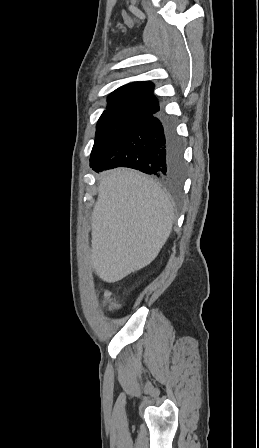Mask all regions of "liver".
Returning <instances> with one entry per match:
<instances>
[{
	"label": "liver",
	"mask_w": 259,
	"mask_h": 448,
	"mask_svg": "<svg viewBox=\"0 0 259 448\" xmlns=\"http://www.w3.org/2000/svg\"><path fill=\"white\" fill-rule=\"evenodd\" d=\"M173 206L160 186L129 168L100 176L91 220V264L103 282H119L151 264L169 238Z\"/></svg>",
	"instance_id": "liver-1"
}]
</instances>
